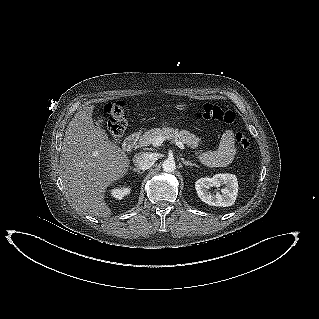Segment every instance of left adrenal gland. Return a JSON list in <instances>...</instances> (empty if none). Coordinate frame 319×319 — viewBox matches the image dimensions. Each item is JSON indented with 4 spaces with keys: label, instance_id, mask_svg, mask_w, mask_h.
<instances>
[{
    "label": "left adrenal gland",
    "instance_id": "obj_1",
    "mask_svg": "<svg viewBox=\"0 0 319 319\" xmlns=\"http://www.w3.org/2000/svg\"><path fill=\"white\" fill-rule=\"evenodd\" d=\"M182 160V163L185 165V166H191V167H193V166H195V167H199V165H197V164H193V163H191L190 161H185L183 158L181 159Z\"/></svg>",
    "mask_w": 319,
    "mask_h": 319
}]
</instances>
